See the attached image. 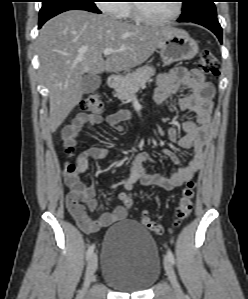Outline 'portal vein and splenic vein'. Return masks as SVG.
I'll list each match as a JSON object with an SVG mask.
<instances>
[{
    "label": "portal vein and splenic vein",
    "mask_w": 248,
    "mask_h": 299,
    "mask_svg": "<svg viewBox=\"0 0 248 299\" xmlns=\"http://www.w3.org/2000/svg\"><path fill=\"white\" fill-rule=\"evenodd\" d=\"M121 51H123V49L114 50V49H111V48H107L103 51V55L108 56L112 53L121 52Z\"/></svg>",
    "instance_id": "1"
}]
</instances>
